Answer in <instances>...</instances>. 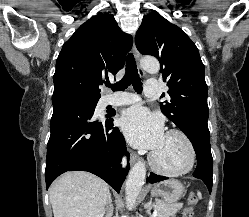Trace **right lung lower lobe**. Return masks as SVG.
Here are the masks:
<instances>
[{
    "label": "right lung lower lobe",
    "instance_id": "obj_1",
    "mask_svg": "<svg viewBox=\"0 0 249 217\" xmlns=\"http://www.w3.org/2000/svg\"><path fill=\"white\" fill-rule=\"evenodd\" d=\"M51 135L47 145L45 179L47 189L66 171H88L117 192L128 173L120 162L126 152L125 140L113 127V113L102 121L95 119L96 105L72 95L52 96Z\"/></svg>",
    "mask_w": 249,
    "mask_h": 217
}]
</instances>
